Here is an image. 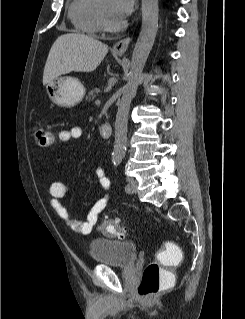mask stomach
<instances>
[{"label": "stomach", "instance_id": "1", "mask_svg": "<svg viewBox=\"0 0 245 319\" xmlns=\"http://www.w3.org/2000/svg\"><path fill=\"white\" fill-rule=\"evenodd\" d=\"M50 100L59 107L71 108L79 104L84 95L85 87L75 77H57L46 85Z\"/></svg>", "mask_w": 245, "mask_h": 319}]
</instances>
